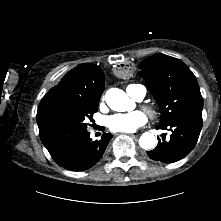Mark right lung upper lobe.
<instances>
[{
    "label": "right lung upper lobe",
    "instance_id": "right-lung-upper-lobe-1",
    "mask_svg": "<svg viewBox=\"0 0 221 221\" xmlns=\"http://www.w3.org/2000/svg\"><path fill=\"white\" fill-rule=\"evenodd\" d=\"M104 83V74L97 65L80 64L66 73L61 82L49 90L42 98L38 109L54 102L94 104L99 102L104 90Z\"/></svg>",
    "mask_w": 221,
    "mask_h": 221
}]
</instances>
